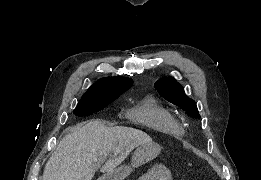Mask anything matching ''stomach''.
<instances>
[{
    "mask_svg": "<svg viewBox=\"0 0 261 180\" xmlns=\"http://www.w3.org/2000/svg\"><path fill=\"white\" fill-rule=\"evenodd\" d=\"M161 151V146L155 142L140 145L133 153L131 166H121L101 176L98 180H124L132 169L155 159Z\"/></svg>",
    "mask_w": 261,
    "mask_h": 180,
    "instance_id": "0dacf381",
    "label": "stomach"
}]
</instances>
